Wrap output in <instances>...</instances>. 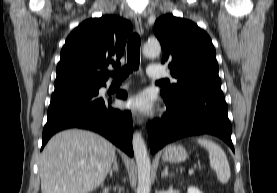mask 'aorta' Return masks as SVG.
Wrapping results in <instances>:
<instances>
[{
    "instance_id": "1",
    "label": "aorta",
    "mask_w": 277,
    "mask_h": 193,
    "mask_svg": "<svg viewBox=\"0 0 277 193\" xmlns=\"http://www.w3.org/2000/svg\"><path fill=\"white\" fill-rule=\"evenodd\" d=\"M160 52L161 46L158 42H148L143 46V54L146 57H156L160 54ZM132 145L138 169L137 193H149L151 185V162L141 133L135 132L133 134Z\"/></svg>"
}]
</instances>
